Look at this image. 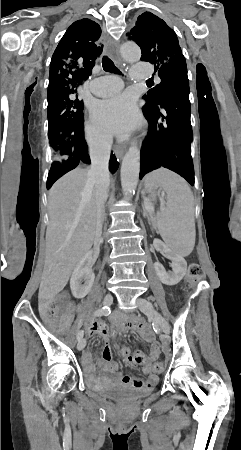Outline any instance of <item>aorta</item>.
<instances>
[{
	"instance_id": "1",
	"label": "aorta",
	"mask_w": 241,
	"mask_h": 450,
	"mask_svg": "<svg viewBox=\"0 0 241 450\" xmlns=\"http://www.w3.org/2000/svg\"><path fill=\"white\" fill-rule=\"evenodd\" d=\"M124 59L136 62L141 58V50L134 43H125L120 49ZM140 173V150L132 144L126 152L121 165V186L125 197L130 199L138 184Z\"/></svg>"
}]
</instances>
